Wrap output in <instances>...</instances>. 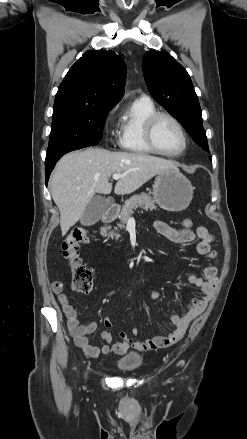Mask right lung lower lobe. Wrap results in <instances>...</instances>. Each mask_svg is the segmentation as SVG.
<instances>
[{
	"label": "right lung lower lobe",
	"instance_id": "right-lung-lower-lobe-1",
	"mask_svg": "<svg viewBox=\"0 0 247 439\" xmlns=\"http://www.w3.org/2000/svg\"><path fill=\"white\" fill-rule=\"evenodd\" d=\"M56 162L48 167L45 168V173H46V184L49 180V176L51 174V171L53 170L54 166H55Z\"/></svg>",
	"mask_w": 247,
	"mask_h": 439
}]
</instances>
